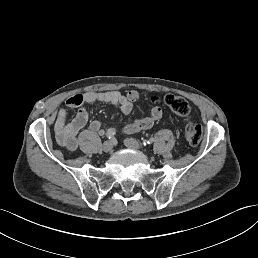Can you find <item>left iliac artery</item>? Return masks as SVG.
<instances>
[{
	"label": "left iliac artery",
	"instance_id": "44dca946",
	"mask_svg": "<svg viewBox=\"0 0 258 258\" xmlns=\"http://www.w3.org/2000/svg\"><path fill=\"white\" fill-rule=\"evenodd\" d=\"M153 142H154V138L151 137V138L148 139L147 141H144V142L142 143V145H143V146H147V145L152 144Z\"/></svg>",
	"mask_w": 258,
	"mask_h": 258
}]
</instances>
